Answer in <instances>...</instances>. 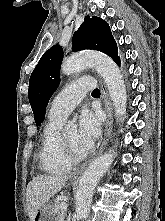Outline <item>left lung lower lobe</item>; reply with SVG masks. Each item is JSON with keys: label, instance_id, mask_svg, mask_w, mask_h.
Masks as SVG:
<instances>
[{"label": "left lung lower lobe", "instance_id": "0a47b994", "mask_svg": "<svg viewBox=\"0 0 165 221\" xmlns=\"http://www.w3.org/2000/svg\"><path fill=\"white\" fill-rule=\"evenodd\" d=\"M116 63H117L118 65H120V59H118V60L116 61Z\"/></svg>", "mask_w": 165, "mask_h": 221}]
</instances>
